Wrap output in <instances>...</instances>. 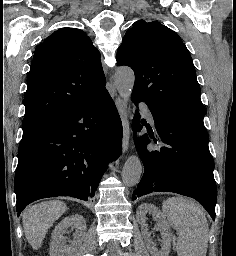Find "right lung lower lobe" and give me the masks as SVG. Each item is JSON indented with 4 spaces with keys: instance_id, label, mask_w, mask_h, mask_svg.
Listing matches in <instances>:
<instances>
[{
    "instance_id": "1",
    "label": "right lung lower lobe",
    "mask_w": 236,
    "mask_h": 256,
    "mask_svg": "<svg viewBox=\"0 0 236 256\" xmlns=\"http://www.w3.org/2000/svg\"><path fill=\"white\" fill-rule=\"evenodd\" d=\"M122 123L108 91L23 136L15 174L18 216L31 202L67 195L87 201L121 152Z\"/></svg>"
}]
</instances>
